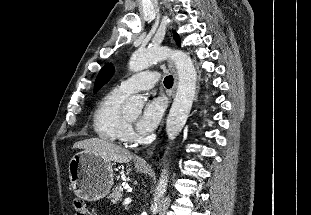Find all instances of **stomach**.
<instances>
[{
    "mask_svg": "<svg viewBox=\"0 0 311 215\" xmlns=\"http://www.w3.org/2000/svg\"><path fill=\"white\" fill-rule=\"evenodd\" d=\"M138 172L144 167L136 166ZM69 178L76 195L87 201L104 198L113 184V170L110 161L93 153L81 151L69 162Z\"/></svg>",
    "mask_w": 311,
    "mask_h": 215,
    "instance_id": "stomach-1",
    "label": "stomach"
}]
</instances>
